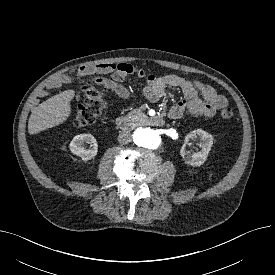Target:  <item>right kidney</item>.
Here are the masks:
<instances>
[{
	"mask_svg": "<svg viewBox=\"0 0 275 275\" xmlns=\"http://www.w3.org/2000/svg\"><path fill=\"white\" fill-rule=\"evenodd\" d=\"M84 142L91 143V149H85L82 145ZM70 151L84 161L94 158L98 152V145L96 139L91 134H80L73 138L70 145Z\"/></svg>",
	"mask_w": 275,
	"mask_h": 275,
	"instance_id": "obj_1",
	"label": "right kidney"
}]
</instances>
